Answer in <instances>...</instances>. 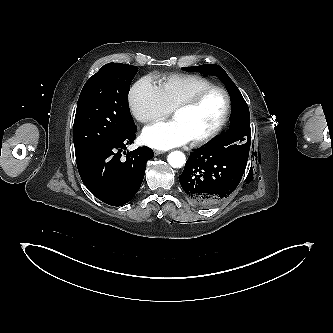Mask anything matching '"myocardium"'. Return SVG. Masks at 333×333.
<instances>
[{"label": "myocardium", "instance_id": "1", "mask_svg": "<svg viewBox=\"0 0 333 333\" xmlns=\"http://www.w3.org/2000/svg\"><path fill=\"white\" fill-rule=\"evenodd\" d=\"M212 92H220L224 96L225 110H224L221 120L219 121L217 126L212 131H210L209 133H207L206 135H204L200 138L192 140V145L196 146V147L203 146V145L209 143L210 141H212L213 139H215L227 125L230 114H231V109H232L231 97H230L228 91L221 86L212 85V86L206 87V88L198 91L193 96H191L190 98L181 102L173 109V116L177 112L192 109V108L196 107L197 105H199L202 102V100Z\"/></svg>", "mask_w": 333, "mask_h": 333}]
</instances>
